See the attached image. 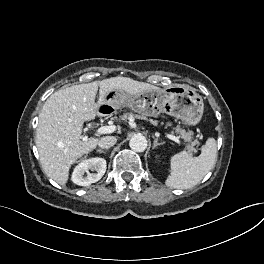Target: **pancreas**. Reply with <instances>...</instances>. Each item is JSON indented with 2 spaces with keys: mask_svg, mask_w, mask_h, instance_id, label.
Returning a JSON list of instances; mask_svg holds the SVG:
<instances>
[{
  "mask_svg": "<svg viewBox=\"0 0 264 264\" xmlns=\"http://www.w3.org/2000/svg\"><path fill=\"white\" fill-rule=\"evenodd\" d=\"M131 117H136V118H141V119L143 118L141 116L129 113V114H124L121 117V119L124 120V119L131 118ZM168 125H171V124L169 123ZM175 132L177 134H179L180 138H182L184 141L188 142V144L186 145L188 152H196V149L194 148V146L198 145L199 142L197 140L192 141L193 131H186L185 129L181 128L180 126H177L175 128Z\"/></svg>",
  "mask_w": 264,
  "mask_h": 264,
  "instance_id": "obj_1",
  "label": "pancreas"
}]
</instances>
